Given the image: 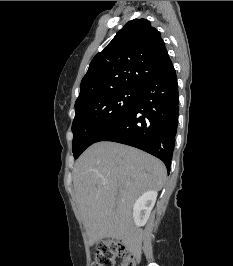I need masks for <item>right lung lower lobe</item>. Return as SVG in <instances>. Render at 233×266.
<instances>
[{
  "mask_svg": "<svg viewBox=\"0 0 233 266\" xmlns=\"http://www.w3.org/2000/svg\"><path fill=\"white\" fill-rule=\"evenodd\" d=\"M178 117V84L173 65L148 81L130 109L100 135L144 150L161 159L170 172Z\"/></svg>",
  "mask_w": 233,
  "mask_h": 266,
  "instance_id": "obj_1",
  "label": "right lung lower lobe"
}]
</instances>
